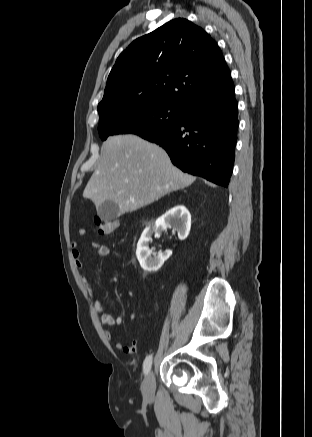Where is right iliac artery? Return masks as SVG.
Segmentation results:
<instances>
[{
    "mask_svg": "<svg viewBox=\"0 0 312 437\" xmlns=\"http://www.w3.org/2000/svg\"><path fill=\"white\" fill-rule=\"evenodd\" d=\"M151 365H152V355H149L145 358L143 363L144 374H147L150 371Z\"/></svg>",
    "mask_w": 312,
    "mask_h": 437,
    "instance_id": "obj_1",
    "label": "right iliac artery"
}]
</instances>
